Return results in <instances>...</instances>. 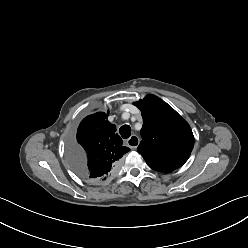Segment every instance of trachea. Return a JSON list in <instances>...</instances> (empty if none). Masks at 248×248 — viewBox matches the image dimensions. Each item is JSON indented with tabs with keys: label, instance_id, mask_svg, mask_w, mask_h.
<instances>
[{
	"label": "trachea",
	"instance_id": "3493384b",
	"mask_svg": "<svg viewBox=\"0 0 248 248\" xmlns=\"http://www.w3.org/2000/svg\"><path fill=\"white\" fill-rule=\"evenodd\" d=\"M119 132L122 138L127 139L131 135V128L129 125H123L120 127Z\"/></svg>",
	"mask_w": 248,
	"mask_h": 248
}]
</instances>
